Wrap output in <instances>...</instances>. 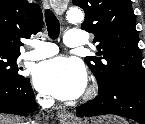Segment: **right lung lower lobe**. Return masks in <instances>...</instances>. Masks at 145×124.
Returning a JSON list of instances; mask_svg holds the SVG:
<instances>
[{"instance_id": "1", "label": "right lung lower lobe", "mask_w": 145, "mask_h": 124, "mask_svg": "<svg viewBox=\"0 0 145 124\" xmlns=\"http://www.w3.org/2000/svg\"><path fill=\"white\" fill-rule=\"evenodd\" d=\"M37 107L28 78L15 79L0 75V113L25 116Z\"/></svg>"}]
</instances>
